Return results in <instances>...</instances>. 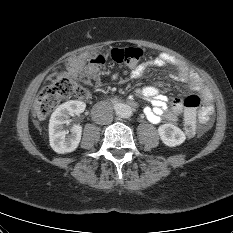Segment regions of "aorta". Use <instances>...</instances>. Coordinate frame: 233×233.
Masks as SVG:
<instances>
[{
	"mask_svg": "<svg viewBox=\"0 0 233 233\" xmlns=\"http://www.w3.org/2000/svg\"><path fill=\"white\" fill-rule=\"evenodd\" d=\"M117 113L122 118H128L132 115V108L129 105L122 104L119 106Z\"/></svg>",
	"mask_w": 233,
	"mask_h": 233,
	"instance_id": "1",
	"label": "aorta"
}]
</instances>
